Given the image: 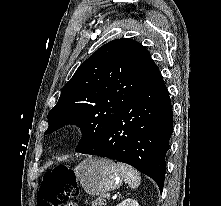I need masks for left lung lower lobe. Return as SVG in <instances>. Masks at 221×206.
<instances>
[{
    "instance_id": "0a47b994",
    "label": "left lung lower lobe",
    "mask_w": 221,
    "mask_h": 206,
    "mask_svg": "<svg viewBox=\"0 0 221 206\" xmlns=\"http://www.w3.org/2000/svg\"><path fill=\"white\" fill-rule=\"evenodd\" d=\"M172 132L171 101L160 76L129 102L96 141L79 152L127 163L155 180L162 192Z\"/></svg>"
}]
</instances>
